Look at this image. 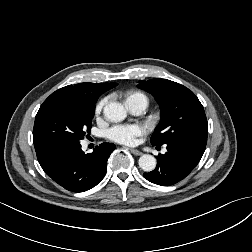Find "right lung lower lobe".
<instances>
[{
  "mask_svg": "<svg viewBox=\"0 0 252 252\" xmlns=\"http://www.w3.org/2000/svg\"><path fill=\"white\" fill-rule=\"evenodd\" d=\"M44 172L56 183L73 192L87 191L105 176L107 160L116 148L102 143L85 154L80 142H44L34 144Z\"/></svg>",
  "mask_w": 252,
  "mask_h": 252,
  "instance_id": "right-lung-lower-lobe-1",
  "label": "right lung lower lobe"
}]
</instances>
